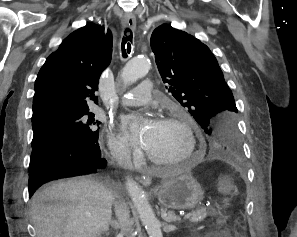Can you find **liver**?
Returning <instances> with one entry per match:
<instances>
[{
    "mask_svg": "<svg viewBox=\"0 0 297 237\" xmlns=\"http://www.w3.org/2000/svg\"><path fill=\"white\" fill-rule=\"evenodd\" d=\"M115 194L88 177L56 181L37 191L31 216L37 237H96L109 228Z\"/></svg>",
    "mask_w": 297,
    "mask_h": 237,
    "instance_id": "liver-1",
    "label": "liver"
}]
</instances>
